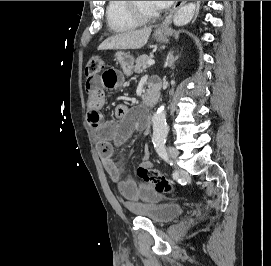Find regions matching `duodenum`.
<instances>
[{
    "instance_id": "obj_1",
    "label": "duodenum",
    "mask_w": 271,
    "mask_h": 266,
    "mask_svg": "<svg viewBox=\"0 0 271 266\" xmlns=\"http://www.w3.org/2000/svg\"><path fill=\"white\" fill-rule=\"evenodd\" d=\"M159 99V92L155 87V84L151 83L149 90L144 95L145 105L152 107L155 106Z\"/></svg>"
}]
</instances>
